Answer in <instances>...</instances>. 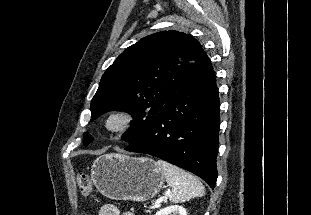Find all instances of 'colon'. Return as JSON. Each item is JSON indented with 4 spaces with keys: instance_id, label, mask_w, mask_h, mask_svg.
<instances>
[{
    "instance_id": "obj_1",
    "label": "colon",
    "mask_w": 311,
    "mask_h": 215,
    "mask_svg": "<svg viewBox=\"0 0 311 215\" xmlns=\"http://www.w3.org/2000/svg\"><path fill=\"white\" fill-rule=\"evenodd\" d=\"M77 181H78L79 189L83 195L91 194L93 187H92L91 179L88 174L80 173L78 175Z\"/></svg>"
}]
</instances>
